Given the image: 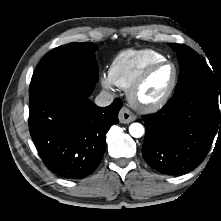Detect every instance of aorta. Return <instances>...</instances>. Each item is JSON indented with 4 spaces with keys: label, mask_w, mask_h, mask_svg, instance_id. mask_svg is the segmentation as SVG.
<instances>
[{
    "label": "aorta",
    "mask_w": 221,
    "mask_h": 221,
    "mask_svg": "<svg viewBox=\"0 0 221 221\" xmlns=\"http://www.w3.org/2000/svg\"><path fill=\"white\" fill-rule=\"evenodd\" d=\"M129 133L134 138H140L144 134V127L140 123H137V122L136 123H132L129 126Z\"/></svg>",
    "instance_id": "762f6f07"
}]
</instances>
